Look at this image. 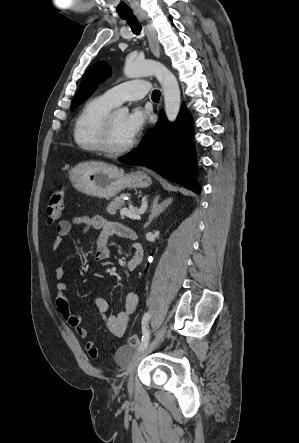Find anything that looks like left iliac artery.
<instances>
[{"label":"left iliac artery","instance_id":"44dca946","mask_svg":"<svg viewBox=\"0 0 299 443\" xmlns=\"http://www.w3.org/2000/svg\"><path fill=\"white\" fill-rule=\"evenodd\" d=\"M149 319H150V313L147 312L144 314V316L142 318V333H143V335H142V342L140 344L139 351L143 350L147 346L149 339H150V332L148 329Z\"/></svg>","mask_w":299,"mask_h":443}]
</instances>
